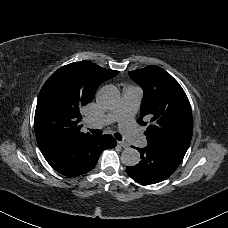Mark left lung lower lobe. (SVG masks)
Segmentation results:
<instances>
[{
    "instance_id": "obj_1",
    "label": "left lung lower lobe",
    "mask_w": 228,
    "mask_h": 228,
    "mask_svg": "<svg viewBox=\"0 0 228 228\" xmlns=\"http://www.w3.org/2000/svg\"><path fill=\"white\" fill-rule=\"evenodd\" d=\"M141 161L127 167V174L137 182L155 184L168 178L180 165L185 153L174 148L155 143H148L144 148H136Z\"/></svg>"
}]
</instances>
